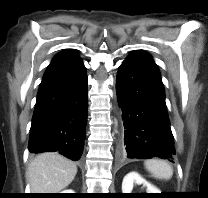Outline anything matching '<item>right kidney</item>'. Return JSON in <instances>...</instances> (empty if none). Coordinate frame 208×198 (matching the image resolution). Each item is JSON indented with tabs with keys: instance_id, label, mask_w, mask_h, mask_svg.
<instances>
[{
	"instance_id": "1",
	"label": "right kidney",
	"mask_w": 208,
	"mask_h": 198,
	"mask_svg": "<svg viewBox=\"0 0 208 198\" xmlns=\"http://www.w3.org/2000/svg\"><path fill=\"white\" fill-rule=\"evenodd\" d=\"M62 193H74V191L72 189H67L65 191H62Z\"/></svg>"
}]
</instances>
